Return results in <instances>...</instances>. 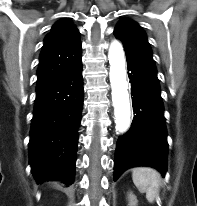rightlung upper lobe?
<instances>
[{
  "instance_id": "obj_1",
  "label": "right lung upper lobe",
  "mask_w": 197,
  "mask_h": 206,
  "mask_svg": "<svg viewBox=\"0 0 197 206\" xmlns=\"http://www.w3.org/2000/svg\"><path fill=\"white\" fill-rule=\"evenodd\" d=\"M81 61L79 31L69 19L57 21L44 39L37 70L36 91L72 71Z\"/></svg>"
}]
</instances>
